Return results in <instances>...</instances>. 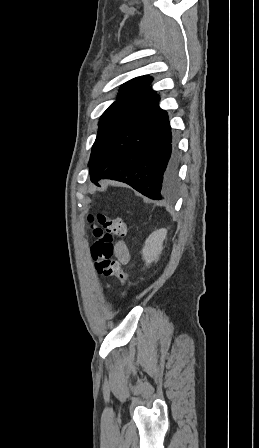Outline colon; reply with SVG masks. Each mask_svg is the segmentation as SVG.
<instances>
[{
    "instance_id": "5ec220e1",
    "label": "colon",
    "mask_w": 259,
    "mask_h": 448,
    "mask_svg": "<svg viewBox=\"0 0 259 448\" xmlns=\"http://www.w3.org/2000/svg\"><path fill=\"white\" fill-rule=\"evenodd\" d=\"M89 221L92 223L91 231L94 237L91 256L96 271L99 274L115 276L121 284H126L128 274L123 270L120 262L113 260L112 257L113 237H125L128 233V224L120 218L111 219L104 214H98L95 219L90 216Z\"/></svg>"
}]
</instances>
